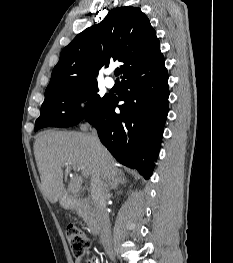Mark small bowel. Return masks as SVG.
I'll list each match as a JSON object with an SVG mask.
<instances>
[{
  "mask_svg": "<svg viewBox=\"0 0 233 263\" xmlns=\"http://www.w3.org/2000/svg\"><path fill=\"white\" fill-rule=\"evenodd\" d=\"M76 263H100V261L96 257H87L82 260L76 261Z\"/></svg>",
  "mask_w": 233,
  "mask_h": 263,
  "instance_id": "small-bowel-1",
  "label": "small bowel"
}]
</instances>
